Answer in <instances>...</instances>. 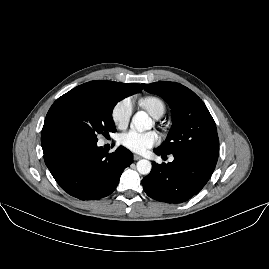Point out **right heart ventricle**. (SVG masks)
<instances>
[{
    "label": "right heart ventricle",
    "instance_id": "1",
    "mask_svg": "<svg viewBox=\"0 0 269 269\" xmlns=\"http://www.w3.org/2000/svg\"><path fill=\"white\" fill-rule=\"evenodd\" d=\"M142 106L152 115L155 116L157 113H164L165 107L161 100L156 97H145L141 101Z\"/></svg>",
    "mask_w": 269,
    "mask_h": 269
}]
</instances>
